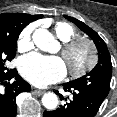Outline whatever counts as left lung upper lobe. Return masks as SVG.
<instances>
[{
	"mask_svg": "<svg viewBox=\"0 0 117 117\" xmlns=\"http://www.w3.org/2000/svg\"><path fill=\"white\" fill-rule=\"evenodd\" d=\"M65 18L85 32L94 41L99 52V61L94 69L86 75L68 82V84L93 91L105 99L110 90V80L112 76V63L107 46L102 38L83 22L69 16H65Z\"/></svg>",
	"mask_w": 117,
	"mask_h": 117,
	"instance_id": "obj_1",
	"label": "left lung upper lobe"
}]
</instances>
